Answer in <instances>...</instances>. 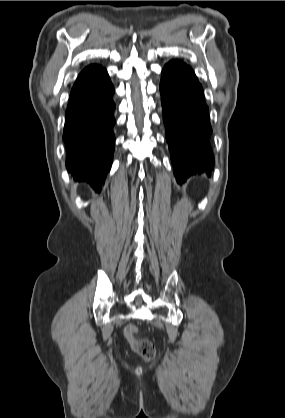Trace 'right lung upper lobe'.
<instances>
[{
	"mask_svg": "<svg viewBox=\"0 0 285 418\" xmlns=\"http://www.w3.org/2000/svg\"><path fill=\"white\" fill-rule=\"evenodd\" d=\"M101 70H103V68L99 65L93 64V65H89L87 66L78 76L74 86L82 83L83 81H85L86 79H88L89 77L99 73ZM73 86V87H74Z\"/></svg>",
	"mask_w": 285,
	"mask_h": 418,
	"instance_id": "obj_1",
	"label": "right lung upper lobe"
}]
</instances>
